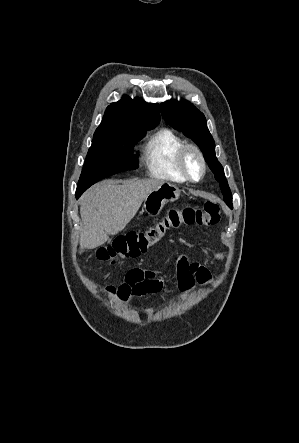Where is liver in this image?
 <instances>
[{
  "mask_svg": "<svg viewBox=\"0 0 299 443\" xmlns=\"http://www.w3.org/2000/svg\"><path fill=\"white\" fill-rule=\"evenodd\" d=\"M163 183L156 179L104 180L88 189L80 198L81 247H99L110 235L124 230L148 194Z\"/></svg>",
  "mask_w": 299,
  "mask_h": 443,
  "instance_id": "obj_1",
  "label": "liver"
}]
</instances>
